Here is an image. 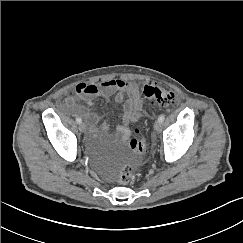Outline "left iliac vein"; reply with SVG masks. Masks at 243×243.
Instances as JSON below:
<instances>
[{"instance_id": "4c4485c4", "label": "left iliac vein", "mask_w": 243, "mask_h": 243, "mask_svg": "<svg viewBox=\"0 0 243 243\" xmlns=\"http://www.w3.org/2000/svg\"><path fill=\"white\" fill-rule=\"evenodd\" d=\"M154 129L159 132L161 131V122H159L158 120L154 123Z\"/></svg>"}]
</instances>
